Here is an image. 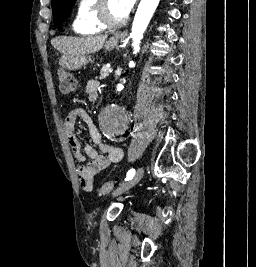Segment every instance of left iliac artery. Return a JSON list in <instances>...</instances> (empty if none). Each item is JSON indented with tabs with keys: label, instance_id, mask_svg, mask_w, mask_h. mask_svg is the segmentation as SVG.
I'll return each instance as SVG.
<instances>
[{
	"label": "left iliac artery",
	"instance_id": "1",
	"mask_svg": "<svg viewBox=\"0 0 256 267\" xmlns=\"http://www.w3.org/2000/svg\"><path fill=\"white\" fill-rule=\"evenodd\" d=\"M134 175H135V170H134V169H130V170L127 172V176H126V178H125V181L130 180Z\"/></svg>",
	"mask_w": 256,
	"mask_h": 267
}]
</instances>
